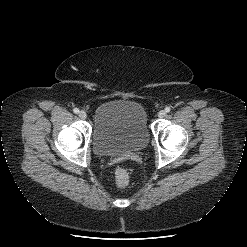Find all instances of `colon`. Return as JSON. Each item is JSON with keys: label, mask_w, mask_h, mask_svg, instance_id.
<instances>
[{"label": "colon", "mask_w": 247, "mask_h": 247, "mask_svg": "<svg viewBox=\"0 0 247 247\" xmlns=\"http://www.w3.org/2000/svg\"><path fill=\"white\" fill-rule=\"evenodd\" d=\"M115 184L118 188H125L129 184V174L124 168L115 170Z\"/></svg>", "instance_id": "colon-1"}]
</instances>
